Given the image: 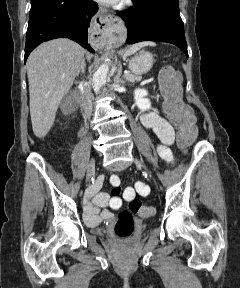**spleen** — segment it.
<instances>
[{
	"label": "spleen",
	"mask_w": 240,
	"mask_h": 288,
	"mask_svg": "<svg viewBox=\"0 0 240 288\" xmlns=\"http://www.w3.org/2000/svg\"><path fill=\"white\" fill-rule=\"evenodd\" d=\"M156 44L153 41H143L132 45L126 52V55H132L139 49L145 46H155Z\"/></svg>",
	"instance_id": "1"
}]
</instances>
